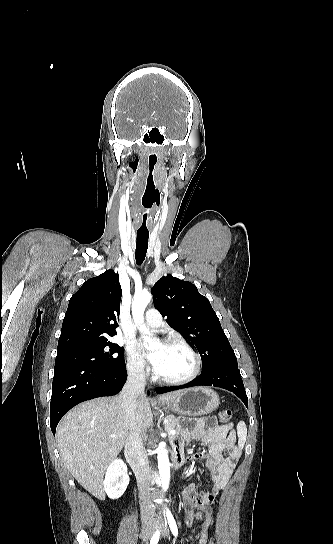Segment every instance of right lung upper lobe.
I'll list each match as a JSON object with an SVG mask.
<instances>
[{
    "label": "right lung upper lobe",
    "mask_w": 333,
    "mask_h": 544,
    "mask_svg": "<svg viewBox=\"0 0 333 544\" xmlns=\"http://www.w3.org/2000/svg\"><path fill=\"white\" fill-rule=\"evenodd\" d=\"M121 296L119 275L113 270L84 282L69 301L58 349L116 335Z\"/></svg>",
    "instance_id": "cb5924a9"
}]
</instances>
